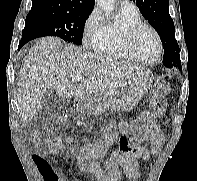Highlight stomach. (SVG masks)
Returning a JSON list of instances; mask_svg holds the SVG:
<instances>
[{
    "instance_id": "0dacf381",
    "label": "stomach",
    "mask_w": 197,
    "mask_h": 181,
    "mask_svg": "<svg viewBox=\"0 0 197 181\" xmlns=\"http://www.w3.org/2000/svg\"><path fill=\"white\" fill-rule=\"evenodd\" d=\"M153 83L151 75H146L131 83L123 90H108L100 92L94 97L81 99L78 107L89 115H98L106 110L131 111L144 95L149 91Z\"/></svg>"
}]
</instances>
